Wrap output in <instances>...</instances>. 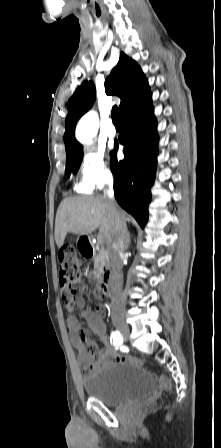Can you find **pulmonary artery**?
Returning <instances> with one entry per match:
<instances>
[{"mask_svg": "<svg viewBox=\"0 0 221 448\" xmlns=\"http://www.w3.org/2000/svg\"><path fill=\"white\" fill-rule=\"evenodd\" d=\"M106 133H107V136L110 139L115 138L116 135H117V131H116V129H115V127H114V125H113L111 120H109V122H108Z\"/></svg>", "mask_w": 221, "mask_h": 448, "instance_id": "1", "label": "pulmonary artery"}]
</instances>
